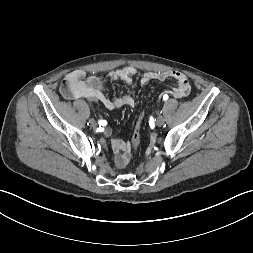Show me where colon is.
<instances>
[{
	"label": "colon",
	"instance_id": "1",
	"mask_svg": "<svg viewBox=\"0 0 253 253\" xmlns=\"http://www.w3.org/2000/svg\"><path fill=\"white\" fill-rule=\"evenodd\" d=\"M147 114V111L145 109H142L140 113L138 114V120L135 124L133 134H132V145L136 149L140 145L141 141V130H142V120L145 118V115Z\"/></svg>",
	"mask_w": 253,
	"mask_h": 253
}]
</instances>
